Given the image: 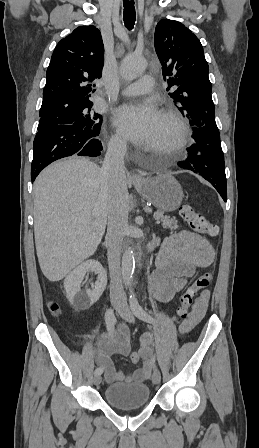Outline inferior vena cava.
Here are the masks:
<instances>
[{"label":"inferior vena cava","mask_w":259,"mask_h":448,"mask_svg":"<svg viewBox=\"0 0 259 448\" xmlns=\"http://www.w3.org/2000/svg\"><path fill=\"white\" fill-rule=\"evenodd\" d=\"M127 142L116 136L108 144V150L100 170V184L108 192V228L105 246L108 250L110 272V298L118 306H127L120 272V254L123 238L127 230L129 196L126 186L124 156Z\"/></svg>","instance_id":"1"}]
</instances>
